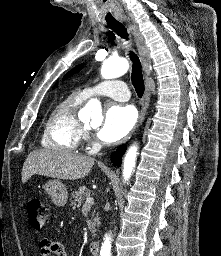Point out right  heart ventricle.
Returning <instances> with one entry per match:
<instances>
[{"instance_id":"right-heart-ventricle-1","label":"right heart ventricle","mask_w":221,"mask_h":256,"mask_svg":"<svg viewBox=\"0 0 221 256\" xmlns=\"http://www.w3.org/2000/svg\"><path fill=\"white\" fill-rule=\"evenodd\" d=\"M85 97L77 92L58 102L50 111L42 132V146L59 151L74 152L83 138V126L77 109Z\"/></svg>"}]
</instances>
